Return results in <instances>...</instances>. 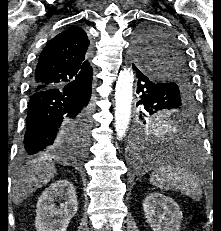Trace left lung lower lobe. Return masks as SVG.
I'll return each mask as SVG.
<instances>
[{
    "label": "left lung lower lobe",
    "mask_w": 221,
    "mask_h": 231,
    "mask_svg": "<svg viewBox=\"0 0 221 231\" xmlns=\"http://www.w3.org/2000/svg\"><path fill=\"white\" fill-rule=\"evenodd\" d=\"M138 78L137 94H139L138 105L155 98L163 92L167 85L151 81L144 73L133 65ZM139 134L132 140V155L144 161L159 159L160 152H169L168 159L182 166L192 164L191 154L200 150L198 135L196 134V122L192 116L184 117L178 122L176 129H170L164 134L155 135L145 142H141Z\"/></svg>",
    "instance_id": "left-lung-lower-lobe-1"
}]
</instances>
